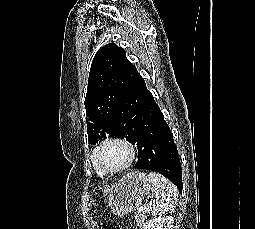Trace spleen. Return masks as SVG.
I'll list each match as a JSON object with an SVG mask.
<instances>
[{
  "label": "spleen",
  "instance_id": "1",
  "mask_svg": "<svg viewBox=\"0 0 255 229\" xmlns=\"http://www.w3.org/2000/svg\"><path fill=\"white\" fill-rule=\"evenodd\" d=\"M149 181L154 199L149 203L147 210L152 215H162L174 209L177 197V188L167 178L156 172H150Z\"/></svg>",
  "mask_w": 255,
  "mask_h": 229
}]
</instances>
